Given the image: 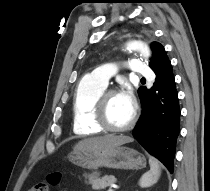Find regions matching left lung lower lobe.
<instances>
[{
  "label": "left lung lower lobe",
  "instance_id": "0a47b994",
  "mask_svg": "<svg viewBox=\"0 0 210 191\" xmlns=\"http://www.w3.org/2000/svg\"><path fill=\"white\" fill-rule=\"evenodd\" d=\"M156 78L153 87L138 89L141 117L133 136L173 173L176 141L180 131V107L171 62L166 52L150 65Z\"/></svg>",
  "mask_w": 210,
  "mask_h": 191
}]
</instances>
